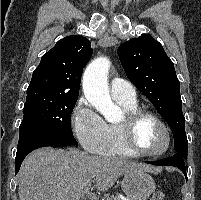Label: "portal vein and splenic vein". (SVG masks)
Instances as JSON below:
<instances>
[{
	"label": "portal vein and splenic vein",
	"mask_w": 201,
	"mask_h": 200,
	"mask_svg": "<svg viewBox=\"0 0 201 200\" xmlns=\"http://www.w3.org/2000/svg\"><path fill=\"white\" fill-rule=\"evenodd\" d=\"M91 183H89L83 190V194L87 195L91 200H97L96 196L89 192Z\"/></svg>",
	"instance_id": "obj_1"
}]
</instances>
